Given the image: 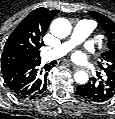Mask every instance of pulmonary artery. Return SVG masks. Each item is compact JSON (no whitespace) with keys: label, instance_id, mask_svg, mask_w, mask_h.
Segmentation results:
<instances>
[{"label":"pulmonary artery","instance_id":"1","mask_svg":"<svg viewBox=\"0 0 115 119\" xmlns=\"http://www.w3.org/2000/svg\"><path fill=\"white\" fill-rule=\"evenodd\" d=\"M92 30V23L90 22H79L70 39L59 46H57L51 53V57H62L71 51L76 45L83 42L90 34Z\"/></svg>","mask_w":115,"mask_h":119}]
</instances>
